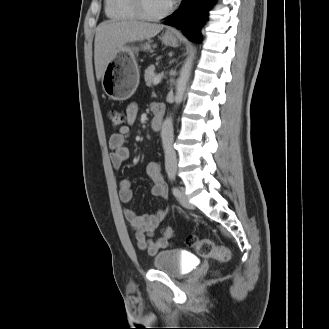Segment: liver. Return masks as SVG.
Returning a JSON list of instances; mask_svg holds the SVG:
<instances>
[{
  "label": "liver",
  "mask_w": 329,
  "mask_h": 329,
  "mask_svg": "<svg viewBox=\"0 0 329 329\" xmlns=\"http://www.w3.org/2000/svg\"><path fill=\"white\" fill-rule=\"evenodd\" d=\"M163 25L138 21H104L96 29L94 62L96 78L100 80L106 65L112 61L121 46L156 36Z\"/></svg>",
  "instance_id": "obj_1"
}]
</instances>
